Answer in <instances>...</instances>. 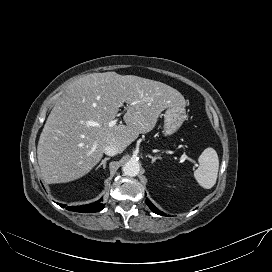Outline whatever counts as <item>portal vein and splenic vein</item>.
<instances>
[{"mask_svg": "<svg viewBox=\"0 0 272 272\" xmlns=\"http://www.w3.org/2000/svg\"><path fill=\"white\" fill-rule=\"evenodd\" d=\"M133 104H135V103H132V105ZM117 119H114V120H111L109 123H108V126L109 127H113V126H115L116 124H117ZM88 125L89 126H98V123H96V122H93V121H90V122H88ZM94 150V149H93ZM183 159H187V160H190V161H192V162H194L192 159H190L186 154H183Z\"/></svg>", "mask_w": 272, "mask_h": 272, "instance_id": "1", "label": "portal vein and splenic vein"}]
</instances>
